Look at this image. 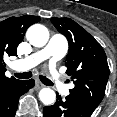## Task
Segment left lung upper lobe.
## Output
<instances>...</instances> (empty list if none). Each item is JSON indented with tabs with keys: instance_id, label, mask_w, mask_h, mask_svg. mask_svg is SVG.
I'll return each instance as SVG.
<instances>
[{
	"instance_id": "1",
	"label": "left lung upper lobe",
	"mask_w": 117,
	"mask_h": 117,
	"mask_svg": "<svg viewBox=\"0 0 117 117\" xmlns=\"http://www.w3.org/2000/svg\"><path fill=\"white\" fill-rule=\"evenodd\" d=\"M53 25L69 42L65 65L75 87L70 96L92 111L102 101L109 78V67L102 46L70 18H51Z\"/></svg>"
}]
</instances>
